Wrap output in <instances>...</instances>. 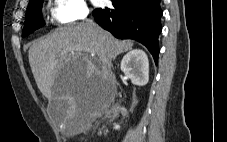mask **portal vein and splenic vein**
Returning <instances> with one entry per match:
<instances>
[{
	"mask_svg": "<svg viewBox=\"0 0 227 142\" xmlns=\"http://www.w3.org/2000/svg\"><path fill=\"white\" fill-rule=\"evenodd\" d=\"M62 53H66V51H63ZM53 57H55V56H53Z\"/></svg>",
	"mask_w": 227,
	"mask_h": 142,
	"instance_id": "1",
	"label": "portal vein and splenic vein"
}]
</instances>
